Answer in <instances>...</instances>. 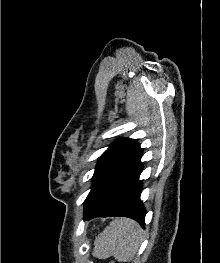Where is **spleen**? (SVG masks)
Segmentation results:
<instances>
[{
    "label": "spleen",
    "mask_w": 220,
    "mask_h": 263,
    "mask_svg": "<svg viewBox=\"0 0 220 263\" xmlns=\"http://www.w3.org/2000/svg\"><path fill=\"white\" fill-rule=\"evenodd\" d=\"M141 242L140 226L131 219L118 218L96 238L94 254L100 258L113 255L118 261L127 262L134 258Z\"/></svg>",
    "instance_id": "3e777b00"
}]
</instances>
